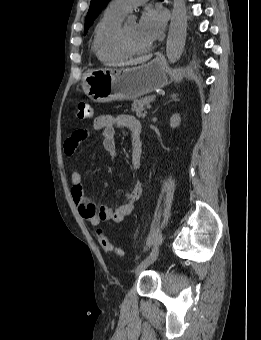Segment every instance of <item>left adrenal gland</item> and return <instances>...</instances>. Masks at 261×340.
Listing matches in <instances>:
<instances>
[{
    "mask_svg": "<svg viewBox=\"0 0 261 340\" xmlns=\"http://www.w3.org/2000/svg\"><path fill=\"white\" fill-rule=\"evenodd\" d=\"M178 100H179L178 99V95L177 94H173V95L170 96L169 102H176Z\"/></svg>",
    "mask_w": 261,
    "mask_h": 340,
    "instance_id": "1",
    "label": "left adrenal gland"
}]
</instances>
